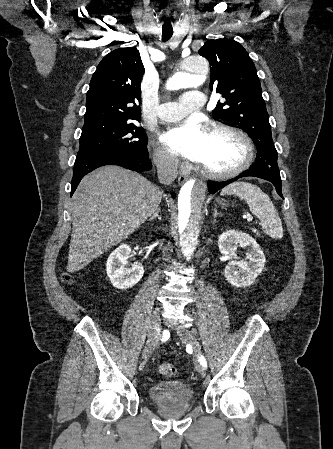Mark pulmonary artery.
I'll use <instances>...</instances> for the list:
<instances>
[{
  "instance_id": "pulmonary-artery-1",
  "label": "pulmonary artery",
  "mask_w": 333,
  "mask_h": 449,
  "mask_svg": "<svg viewBox=\"0 0 333 449\" xmlns=\"http://www.w3.org/2000/svg\"><path fill=\"white\" fill-rule=\"evenodd\" d=\"M204 94L198 90H189L182 94L177 102H166L158 107L157 114L161 120L176 121L188 112L198 110L204 103Z\"/></svg>"
}]
</instances>
